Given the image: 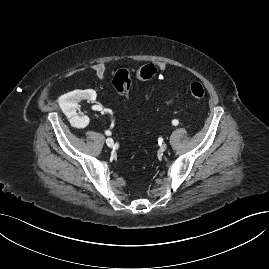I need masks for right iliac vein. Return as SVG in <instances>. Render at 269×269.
I'll use <instances>...</instances> for the list:
<instances>
[{"label": "right iliac vein", "instance_id": "63e3f726", "mask_svg": "<svg viewBox=\"0 0 269 269\" xmlns=\"http://www.w3.org/2000/svg\"><path fill=\"white\" fill-rule=\"evenodd\" d=\"M106 144L108 147L112 148L114 146V141L112 138H107L106 139Z\"/></svg>", "mask_w": 269, "mask_h": 269}]
</instances>
